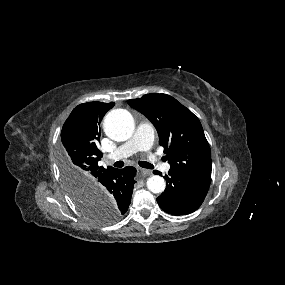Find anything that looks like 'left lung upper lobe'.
I'll list each match as a JSON object with an SVG mask.
<instances>
[{"label":"left lung upper lobe","instance_id":"obj_1","mask_svg":"<svg viewBox=\"0 0 285 285\" xmlns=\"http://www.w3.org/2000/svg\"><path fill=\"white\" fill-rule=\"evenodd\" d=\"M155 126L170 170L211 181V154L199 119L167 94H147L128 101Z\"/></svg>","mask_w":285,"mask_h":285}]
</instances>
